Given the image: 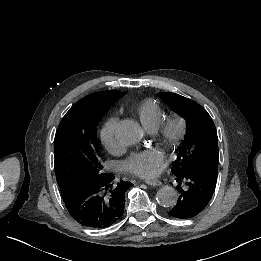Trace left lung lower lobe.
<instances>
[{
	"label": "left lung lower lobe",
	"instance_id": "0a47b994",
	"mask_svg": "<svg viewBox=\"0 0 261 261\" xmlns=\"http://www.w3.org/2000/svg\"><path fill=\"white\" fill-rule=\"evenodd\" d=\"M179 198L169 215L188 219L198 215L209 203L216 187V178L195 171L177 176Z\"/></svg>",
	"mask_w": 261,
	"mask_h": 261
}]
</instances>
